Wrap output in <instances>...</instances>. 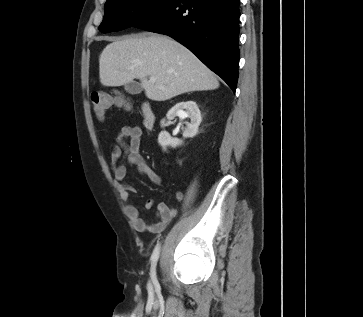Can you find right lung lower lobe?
<instances>
[{
	"mask_svg": "<svg viewBox=\"0 0 363 317\" xmlns=\"http://www.w3.org/2000/svg\"><path fill=\"white\" fill-rule=\"evenodd\" d=\"M240 0H176L134 27L171 36L235 92L239 64Z\"/></svg>",
	"mask_w": 363,
	"mask_h": 317,
	"instance_id": "1",
	"label": "right lung lower lobe"
}]
</instances>
